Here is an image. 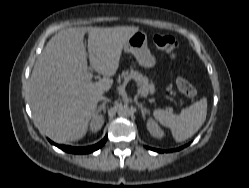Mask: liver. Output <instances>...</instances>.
Listing matches in <instances>:
<instances>
[{"instance_id": "obj_1", "label": "liver", "mask_w": 249, "mask_h": 188, "mask_svg": "<svg viewBox=\"0 0 249 188\" xmlns=\"http://www.w3.org/2000/svg\"><path fill=\"white\" fill-rule=\"evenodd\" d=\"M138 27H77L55 34L38 57L30 78V104L38 129L56 143L84 137L107 92L122 49ZM88 33V53L83 43ZM91 67L105 77L92 82Z\"/></svg>"}]
</instances>
